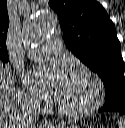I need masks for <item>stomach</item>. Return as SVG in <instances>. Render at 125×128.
<instances>
[{"mask_svg":"<svg viewBox=\"0 0 125 128\" xmlns=\"http://www.w3.org/2000/svg\"><path fill=\"white\" fill-rule=\"evenodd\" d=\"M70 128H79V127H70Z\"/></svg>","mask_w":125,"mask_h":128,"instance_id":"0dacf381","label":"stomach"}]
</instances>
